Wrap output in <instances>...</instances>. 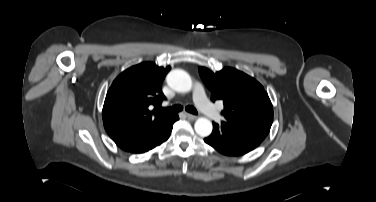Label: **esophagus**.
<instances>
[{
	"mask_svg": "<svg viewBox=\"0 0 376 202\" xmlns=\"http://www.w3.org/2000/svg\"><path fill=\"white\" fill-rule=\"evenodd\" d=\"M186 117L189 119V120H195L197 118L196 115H193V114H190V113H185Z\"/></svg>",
	"mask_w": 376,
	"mask_h": 202,
	"instance_id": "34e87169",
	"label": "esophagus"
}]
</instances>
